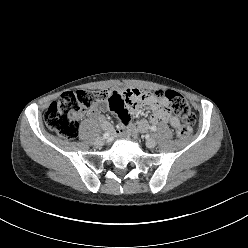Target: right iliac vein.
<instances>
[{"instance_id": "63e3f726", "label": "right iliac vein", "mask_w": 248, "mask_h": 248, "mask_svg": "<svg viewBox=\"0 0 248 248\" xmlns=\"http://www.w3.org/2000/svg\"><path fill=\"white\" fill-rule=\"evenodd\" d=\"M104 143H105V139H104V138H98V139H96V141H95V144H96L97 146H102V145H104Z\"/></svg>"}]
</instances>
